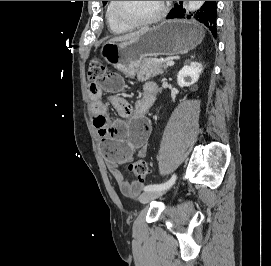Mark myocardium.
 Listing matches in <instances>:
<instances>
[{
    "label": "myocardium",
    "instance_id": "f54148a6",
    "mask_svg": "<svg viewBox=\"0 0 271 266\" xmlns=\"http://www.w3.org/2000/svg\"><path fill=\"white\" fill-rule=\"evenodd\" d=\"M122 1H114V14L116 18L124 25L134 28L155 24L159 22L166 14L167 5L165 1L160 2V8L158 12L150 18L144 20H134L127 17L121 9Z\"/></svg>",
    "mask_w": 271,
    "mask_h": 266
}]
</instances>
